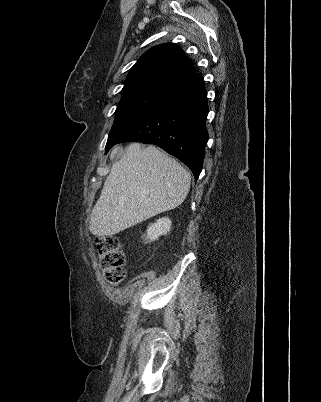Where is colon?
<instances>
[{
    "label": "colon",
    "mask_w": 321,
    "mask_h": 402,
    "mask_svg": "<svg viewBox=\"0 0 321 402\" xmlns=\"http://www.w3.org/2000/svg\"><path fill=\"white\" fill-rule=\"evenodd\" d=\"M96 258L104 280L111 286H118L126 277V256L122 243L113 236H97Z\"/></svg>",
    "instance_id": "5ec220e1"
}]
</instances>
